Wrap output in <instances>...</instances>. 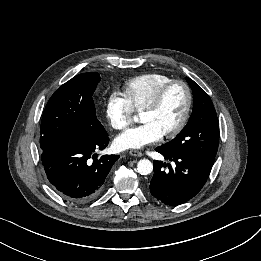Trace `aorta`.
I'll return each mask as SVG.
<instances>
[{
    "label": "aorta",
    "mask_w": 261,
    "mask_h": 261,
    "mask_svg": "<svg viewBox=\"0 0 261 261\" xmlns=\"http://www.w3.org/2000/svg\"><path fill=\"white\" fill-rule=\"evenodd\" d=\"M137 171L141 175H149L153 171V164L148 159H142L137 163Z\"/></svg>",
    "instance_id": "aorta-1"
}]
</instances>
